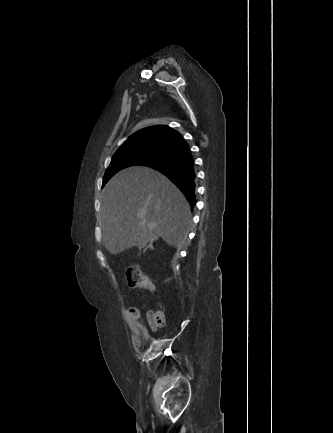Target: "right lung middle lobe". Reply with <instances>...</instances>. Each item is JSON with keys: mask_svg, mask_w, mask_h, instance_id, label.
I'll list each match as a JSON object with an SVG mask.
<instances>
[{"mask_svg": "<svg viewBox=\"0 0 333 433\" xmlns=\"http://www.w3.org/2000/svg\"><path fill=\"white\" fill-rule=\"evenodd\" d=\"M171 153L170 148L152 143L120 147L114 154L103 178L104 186L119 170L130 165H145L166 157Z\"/></svg>", "mask_w": 333, "mask_h": 433, "instance_id": "dd1d6c3e", "label": "right lung middle lobe"}]
</instances>
